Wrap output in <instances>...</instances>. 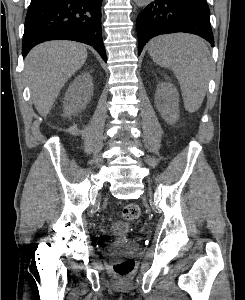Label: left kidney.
Segmentation results:
<instances>
[{
	"label": "left kidney",
	"mask_w": 245,
	"mask_h": 300,
	"mask_svg": "<svg viewBox=\"0 0 245 300\" xmlns=\"http://www.w3.org/2000/svg\"><path fill=\"white\" fill-rule=\"evenodd\" d=\"M155 102L162 117L174 120L178 115V93L170 83L159 84L155 94Z\"/></svg>",
	"instance_id": "1"
}]
</instances>
